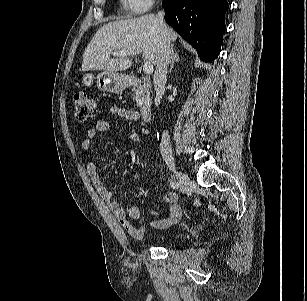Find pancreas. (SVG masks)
Wrapping results in <instances>:
<instances>
[{
	"instance_id": "cf45deb5",
	"label": "pancreas",
	"mask_w": 307,
	"mask_h": 301,
	"mask_svg": "<svg viewBox=\"0 0 307 301\" xmlns=\"http://www.w3.org/2000/svg\"><path fill=\"white\" fill-rule=\"evenodd\" d=\"M143 84H144V86H143L142 90L145 91L146 94H147V97H149V96H150L151 83H150L149 80H147V79L144 78V79H143ZM139 91H140V89H134V90H133V92H134L133 95L135 96V100L138 99L137 93H138Z\"/></svg>"
}]
</instances>
